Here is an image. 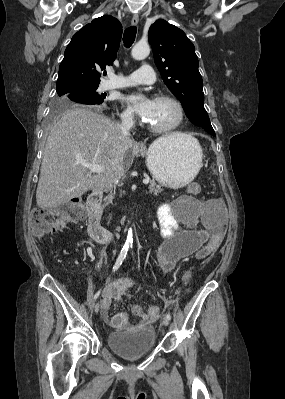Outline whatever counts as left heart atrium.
Instances as JSON below:
<instances>
[{
    "mask_svg": "<svg viewBox=\"0 0 285 399\" xmlns=\"http://www.w3.org/2000/svg\"><path fill=\"white\" fill-rule=\"evenodd\" d=\"M126 101L134 110L145 120H149L152 115L155 100L142 94L134 93L126 97Z\"/></svg>",
    "mask_w": 285,
    "mask_h": 399,
    "instance_id": "1",
    "label": "left heart atrium"
}]
</instances>
